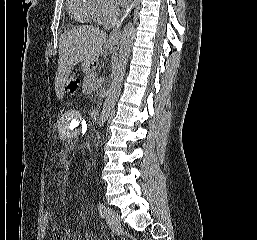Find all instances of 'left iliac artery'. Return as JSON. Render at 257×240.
I'll return each instance as SVG.
<instances>
[{"label": "left iliac artery", "instance_id": "1", "mask_svg": "<svg viewBox=\"0 0 257 240\" xmlns=\"http://www.w3.org/2000/svg\"><path fill=\"white\" fill-rule=\"evenodd\" d=\"M98 209L100 216L103 218L105 216V206L103 205V203L99 202Z\"/></svg>", "mask_w": 257, "mask_h": 240}]
</instances>
